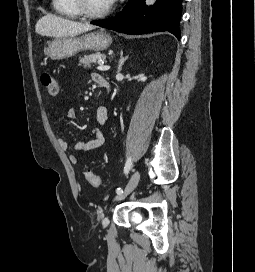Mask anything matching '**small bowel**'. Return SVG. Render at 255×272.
Returning <instances> with one entry per match:
<instances>
[{
    "instance_id": "1",
    "label": "small bowel",
    "mask_w": 255,
    "mask_h": 272,
    "mask_svg": "<svg viewBox=\"0 0 255 272\" xmlns=\"http://www.w3.org/2000/svg\"><path fill=\"white\" fill-rule=\"evenodd\" d=\"M104 78L98 73L92 74V79L98 83V81ZM76 118V111L73 108L68 109L66 113V120L72 121ZM109 119V112L105 106H100L96 110V121L99 125H105ZM105 142V137L100 129H94L89 136L79 140L74 144V152L69 154L68 158L71 163L76 164L79 161V157L90 151L101 147ZM60 148L64 151L68 150V143L62 139H58Z\"/></svg>"
}]
</instances>
